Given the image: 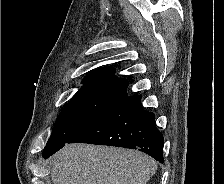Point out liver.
Instances as JSON below:
<instances>
[{
	"label": "liver",
	"instance_id": "6515ba94",
	"mask_svg": "<svg viewBox=\"0 0 224 184\" xmlns=\"http://www.w3.org/2000/svg\"><path fill=\"white\" fill-rule=\"evenodd\" d=\"M53 184H146L156 162L139 151L67 144L52 156Z\"/></svg>",
	"mask_w": 224,
	"mask_h": 184
}]
</instances>
